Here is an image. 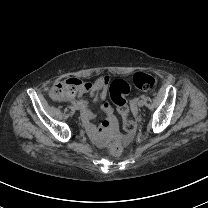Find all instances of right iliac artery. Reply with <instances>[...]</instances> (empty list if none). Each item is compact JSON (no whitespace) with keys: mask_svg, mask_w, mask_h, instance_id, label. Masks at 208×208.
I'll use <instances>...</instances> for the list:
<instances>
[{"mask_svg":"<svg viewBox=\"0 0 208 208\" xmlns=\"http://www.w3.org/2000/svg\"><path fill=\"white\" fill-rule=\"evenodd\" d=\"M71 103H72L73 105H76V102H75V101H71Z\"/></svg>","mask_w":208,"mask_h":208,"instance_id":"1","label":"right iliac artery"}]
</instances>
